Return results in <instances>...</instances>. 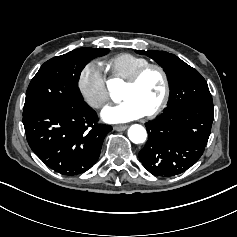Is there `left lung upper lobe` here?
Returning <instances> with one entry per match:
<instances>
[{
  "label": "left lung upper lobe",
  "instance_id": "obj_1",
  "mask_svg": "<svg viewBox=\"0 0 237 237\" xmlns=\"http://www.w3.org/2000/svg\"><path fill=\"white\" fill-rule=\"evenodd\" d=\"M155 60L166 72L171 95L168 107L157 119L147 122L148 141L139 152L143 165H154L156 176H174L187 170L178 160H198L204 152L211 128L202 120L173 122L166 117L174 110L213 107L206 80L194 68L165 51L136 50ZM196 163V162H195Z\"/></svg>",
  "mask_w": 237,
  "mask_h": 237
}]
</instances>
